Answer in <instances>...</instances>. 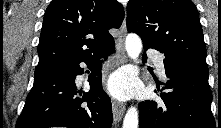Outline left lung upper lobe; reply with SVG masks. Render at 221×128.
Returning <instances> with one entry per match:
<instances>
[{"label": "left lung upper lobe", "instance_id": "1", "mask_svg": "<svg viewBox=\"0 0 221 128\" xmlns=\"http://www.w3.org/2000/svg\"><path fill=\"white\" fill-rule=\"evenodd\" d=\"M127 30L137 33L144 47L208 69L199 14L191 0H130Z\"/></svg>", "mask_w": 221, "mask_h": 128}]
</instances>
